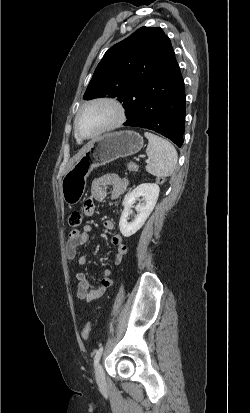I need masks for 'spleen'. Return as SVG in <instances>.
<instances>
[{
	"label": "spleen",
	"instance_id": "spleen-1",
	"mask_svg": "<svg viewBox=\"0 0 250 413\" xmlns=\"http://www.w3.org/2000/svg\"><path fill=\"white\" fill-rule=\"evenodd\" d=\"M144 136L148 139L146 154L150 159L146 171L160 178L172 175L178 159L174 146L153 133L145 132Z\"/></svg>",
	"mask_w": 250,
	"mask_h": 413
}]
</instances>
